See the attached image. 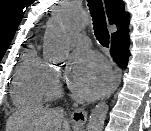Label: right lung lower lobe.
Here are the masks:
<instances>
[{
	"mask_svg": "<svg viewBox=\"0 0 151 131\" xmlns=\"http://www.w3.org/2000/svg\"><path fill=\"white\" fill-rule=\"evenodd\" d=\"M129 39H121L111 43L110 54L114 61L121 67H126L128 63L129 52Z\"/></svg>",
	"mask_w": 151,
	"mask_h": 131,
	"instance_id": "1",
	"label": "right lung lower lobe"
}]
</instances>
